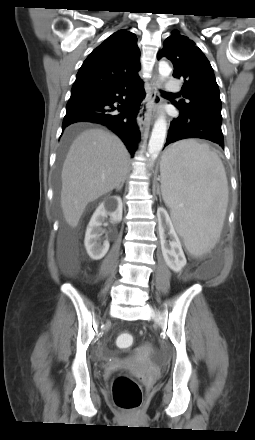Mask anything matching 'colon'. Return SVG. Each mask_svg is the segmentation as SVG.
Segmentation results:
<instances>
[{
    "label": "colon",
    "mask_w": 255,
    "mask_h": 440,
    "mask_svg": "<svg viewBox=\"0 0 255 440\" xmlns=\"http://www.w3.org/2000/svg\"><path fill=\"white\" fill-rule=\"evenodd\" d=\"M134 338L130 333H120L116 338V344L120 348H130ZM114 403L117 407L127 410H138L142 403V392L138 383L125 375L115 377L112 385Z\"/></svg>",
    "instance_id": "1"
}]
</instances>
